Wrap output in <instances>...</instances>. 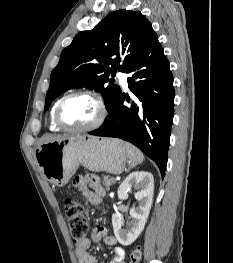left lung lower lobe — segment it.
<instances>
[{"label":"left lung lower lobe","instance_id":"left-lung-lower-lobe-1","mask_svg":"<svg viewBox=\"0 0 233 263\" xmlns=\"http://www.w3.org/2000/svg\"><path fill=\"white\" fill-rule=\"evenodd\" d=\"M126 73L128 86L135 95L125 106L124 94L109 112L101 127L91 135L116 137L141 149L165 175L169 139L174 116V86L169 62L154 38Z\"/></svg>","mask_w":233,"mask_h":263}]
</instances>
